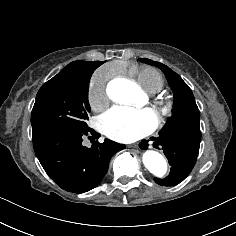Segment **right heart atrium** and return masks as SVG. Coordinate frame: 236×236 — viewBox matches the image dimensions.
I'll return each mask as SVG.
<instances>
[{"instance_id":"d8ad5b80","label":"right heart atrium","mask_w":236,"mask_h":236,"mask_svg":"<svg viewBox=\"0 0 236 236\" xmlns=\"http://www.w3.org/2000/svg\"><path fill=\"white\" fill-rule=\"evenodd\" d=\"M112 78L111 71L102 67L94 72L89 84V100L96 109H104L109 104L108 86Z\"/></svg>"}]
</instances>
